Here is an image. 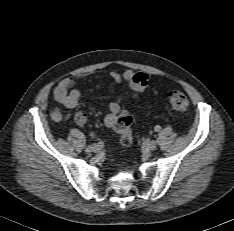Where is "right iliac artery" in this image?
<instances>
[{
    "label": "right iliac artery",
    "instance_id": "1",
    "mask_svg": "<svg viewBox=\"0 0 234 231\" xmlns=\"http://www.w3.org/2000/svg\"><path fill=\"white\" fill-rule=\"evenodd\" d=\"M94 146H96V144L90 145L89 147H94Z\"/></svg>",
    "mask_w": 234,
    "mask_h": 231
}]
</instances>
